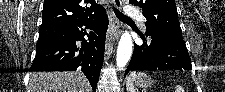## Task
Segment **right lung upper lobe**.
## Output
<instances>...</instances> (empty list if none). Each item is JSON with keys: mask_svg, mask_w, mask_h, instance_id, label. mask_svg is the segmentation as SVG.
Wrapping results in <instances>:
<instances>
[{"mask_svg": "<svg viewBox=\"0 0 225 92\" xmlns=\"http://www.w3.org/2000/svg\"><path fill=\"white\" fill-rule=\"evenodd\" d=\"M90 3V7H82ZM102 6L95 0H44L41 28H70L96 17Z\"/></svg>", "mask_w": 225, "mask_h": 92, "instance_id": "right-lung-upper-lobe-1", "label": "right lung upper lobe"}]
</instances>
